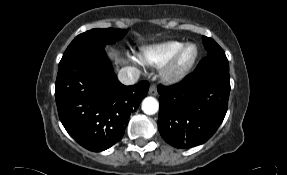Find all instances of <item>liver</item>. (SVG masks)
<instances>
[{"mask_svg":"<svg viewBox=\"0 0 287 175\" xmlns=\"http://www.w3.org/2000/svg\"><path fill=\"white\" fill-rule=\"evenodd\" d=\"M108 54L111 58L115 59L117 64L125 62L123 59L118 58L117 54L114 51H108Z\"/></svg>","mask_w":287,"mask_h":175,"instance_id":"obj_1","label":"liver"}]
</instances>
